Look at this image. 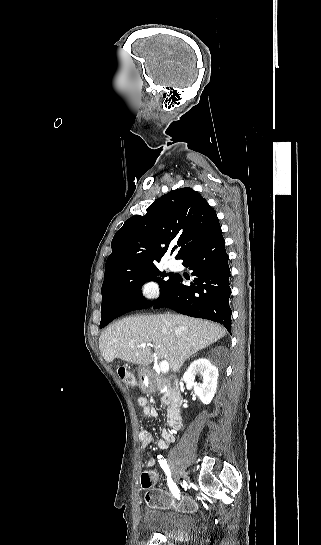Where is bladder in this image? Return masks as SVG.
<instances>
[{
  "label": "bladder",
  "mask_w": 321,
  "mask_h": 545,
  "mask_svg": "<svg viewBox=\"0 0 321 545\" xmlns=\"http://www.w3.org/2000/svg\"><path fill=\"white\" fill-rule=\"evenodd\" d=\"M141 519L146 529L174 543L189 541L195 529L193 516L179 509L148 507Z\"/></svg>",
  "instance_id": "1"
}]
</instances>
